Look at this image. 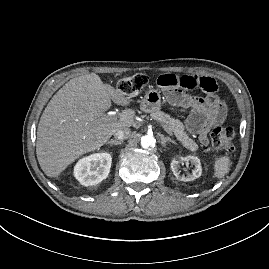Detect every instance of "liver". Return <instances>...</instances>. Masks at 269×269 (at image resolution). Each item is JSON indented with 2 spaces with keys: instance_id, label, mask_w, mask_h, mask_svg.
<instances>
[{
  "instance_id": "6515ba94",
  "label": "liver",
  "mask_w": 269,
  "mask_h": 269,
  "mask_svg": "<svg viewBox=\"0 0 269 269\" xmlns=\"http://www.w3.org/2000/svg\"><path fill=\"white\" fill-rule=\"evenodd\" d=\"M111 100L121 106L129 97L95 74L67 82L50 100L37 129L36 154L43 172L57 177L85 153L99 150L119 129L134 123L135 112L126 109L119 120L105 116Z\"/></svg>"
}]
</instances>
